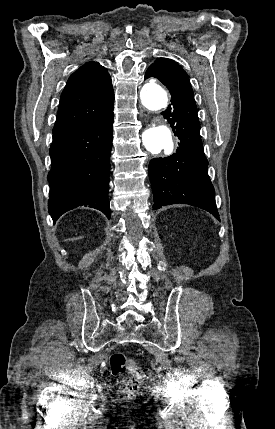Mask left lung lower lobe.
<instances>
[{
	"instance_id": "1",
	"label": "left lung lower lobe",
	"mask_w": 275,
	"mask_h": 429,
	"mask_svg": "<svg viewBox=\"0 0 275 429\" xmlns=\"http://www.w3.org/2000/svg\"><path fill=\"white\" fill-rule=\"evenodd\" d=\"M149 77L158 78L171 93V105L162 114L180 140L176 153L150 161L153 209L189 204L210 212L220 221L207 172L208 161L203 151L192 87L185 81H165L147 71L145 78Z\"/></svg>"
}]
</instances>
